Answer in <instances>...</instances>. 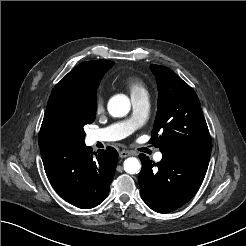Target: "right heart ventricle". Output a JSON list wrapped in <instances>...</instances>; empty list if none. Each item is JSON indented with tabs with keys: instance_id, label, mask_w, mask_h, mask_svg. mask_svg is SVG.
Returning a JSON list of instances; mask_svg holds the SVG:
<instances>
[{
	"instance_id": "1",
	"label": "right heart ventricle",
	"mask_w": 246,
	"mask_h": 246,
	"mask_svg": "<svg viewBox=\"0 0 246 246\" xmlns=\"http://www.w3.org/2000/svg\"><path fill=\"white\" fill-rule=\"evenodd\" d=\"M128 89L130 90L131 96L140 94H147V89L144 83L137 78H130L126 82Z\"/></svg>"
}]
</instances>
